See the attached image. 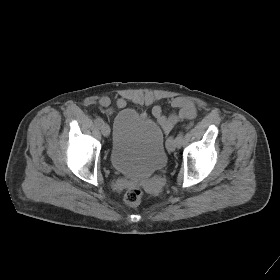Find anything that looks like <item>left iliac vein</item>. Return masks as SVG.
<instances>
[{"mask_svg": "<svg viewBox=\"0 0 280 280\" xmlns=\"http://www.w3.org/2000/svg\"><path fill=\"white\" fill-rule=\"evenodd\" d=\"M178 146V142L176 138L170 137L167 141V150L169 152H173Z\"/></svg>", "mask_w": 280, "mask_h": 280, "instance_id": "obj_1", "label": "left iliac vein"}]
</instances>
